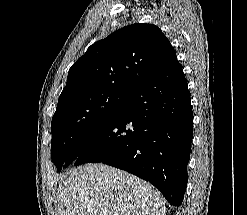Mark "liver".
Listing matches in <instances>:
<instances>
[{
	"mask_svg": "<svg viewBox=\"0 0 247 215\" xmlns=\"http://www.w3.org/2000/svg\"><path fill=\"white\" fill-rule=\"evenodd\" d=\"M57 215H166L151 184L103 164L72 169L59 185Z\"/></svg>",
	"mask_w": 247,
	"mask_h": 215,
	"instance_id": "obj_1",
	"label": "liver"
}]
</instances>
